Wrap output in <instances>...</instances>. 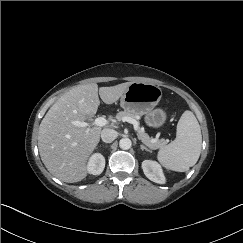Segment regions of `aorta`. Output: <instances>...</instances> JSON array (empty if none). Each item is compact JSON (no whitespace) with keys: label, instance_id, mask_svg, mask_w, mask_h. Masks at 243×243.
<instances>
[{"label":"aorta","instance_id":"762f6f07","mask_svg":"<svg viewBox=\"0 0 243 243\" xmlns=\"http://www.w3.org/2000/svg\"><path fill=\"white\" fill-rule=\"evenodd\" d=\"M119 146L121 149L127 150L131 148L132 142L129 138H122L119 141Z\"/></svg>","mask_w":243,"mask_h":243}]
</instances>
